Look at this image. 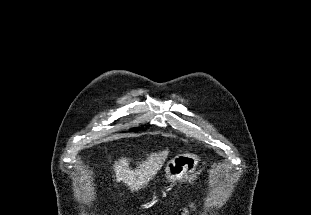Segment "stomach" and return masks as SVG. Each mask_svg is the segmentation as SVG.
<instances>
[{"label":"stomach","instance_id":"0dacf381","mask_svg":"<svg viewBox=\"0 0 311 215\" xmlns=\"http://www.w3.org/2000/svg\"><path fill=\"white\" fill-rule=\"evenodd\" d=\"M201 163V158L194 153L184 152L177 154L167 162L165 177L174 184L193 183L200 171L196 167Z\"/></svg>","mask_w":311,"mask_h":215}]
</instances>
